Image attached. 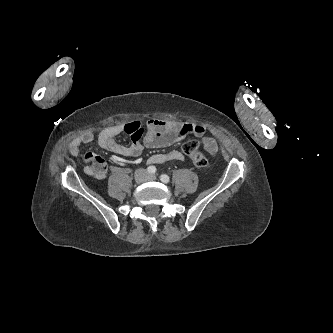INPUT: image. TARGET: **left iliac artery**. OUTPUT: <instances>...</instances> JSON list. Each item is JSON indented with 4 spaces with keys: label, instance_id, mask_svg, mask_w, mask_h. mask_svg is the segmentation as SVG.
Returning a JSON list of instances; mask_svg holds the SVG:
<instances>
[{
    "label": "left iliac artery",
    "instance_id": "obj_1",
    "mask_svg": "<svg viewBox=\"0 0 333 333\" xmlns=\"http://www.w3.org/2000/svg\"><path fill=\"white\" fill-rule=\"evenodd\" d=\"M160 180H161L162 182H164V183H168V182L170 181V178H169L168 175H166V174H162V175L160 176Z\"/></svg>",
    "mask_w": 333,
    "mask_h": 333
}]
</instances>
